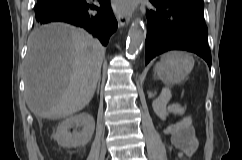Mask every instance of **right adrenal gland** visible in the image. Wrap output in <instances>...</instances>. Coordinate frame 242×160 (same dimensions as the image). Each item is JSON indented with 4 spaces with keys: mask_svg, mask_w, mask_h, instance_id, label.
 <instances>
[{
    "mask_svg": "<svg viewBox=\"0 0 242 160\" xmlns=\"http://www.w3.org/2000/svg\"><path fill=\"white\" fill-rule=\"evenodd\" d=\"M99 88H100V79L98 81V91H99Z\"/></svg>",
    "mask_w": 242,
    "mask_h": 160,
    "instance_id": "2a0ac1e0",
    "label": "right adrenal gland"
}]
</instances>
